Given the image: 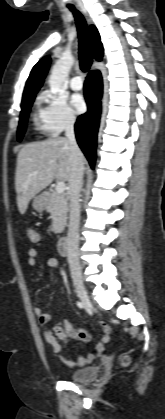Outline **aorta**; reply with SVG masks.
Returning a JSON list of instances; mask_svg holds the SVG:
<instances>
[{
	"instance_id": "1",
	"label": "aorta",
	"mask_w": 165,
	"mask_h": 419,
	"mask_svg": "<svg viewBox=\"0 0 165 419\" xmlns=\"http://www.w3.org/2000/svg\"><path fill=\"white\" fill-rule=\"evenodd\" d=\"M74 64V58L71 54H63L52 67L51 75L49 77V86L54 94L60 93L63 88V83Z\"/></svg>"
}]
</instances>
